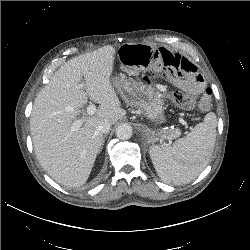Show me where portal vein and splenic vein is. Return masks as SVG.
<instances>
[{
    "label": "portal vein and splenic vein",
    "instance_id": "18ae733b",
    "mask_svg": "<svg viewBox=\"0 0 250 250\" xmlns=\"http://www.w3.org/2000/svg\"><path fill=\"white\" fill-rule=\"evenodd\" d=\"M95 111H96L95 105L93 103H90L87 107V114L93 115ZM82 123H83L82 119L74 121L71 125V129L73 131L78 130L81 127Z\"/></svg>",
    "mask_w": 250,
    "mask_h": 250
}]
</instances>
